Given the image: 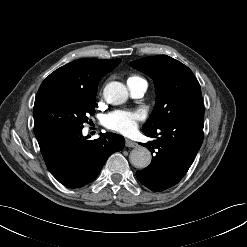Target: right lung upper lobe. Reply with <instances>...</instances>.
<instances>
[{
    "label": "right lung upper lobe",
    "mask_w": 247,
    "mask_h": 247,
    "mask_svg": "<svg viewBox=\"0 0 247 247\" xmlns=\"http://www.w3.org/2000/svg\"><path fill=\"white\" fill-rule=\"evenodd\" d=\"M120 62L121 59L84 58L68 63L43 81L36 96L52 91L96 95L101 78Z\"/></svg>",
    "instance_id": "right-lung-upper-lobe-1"
}]
</instances>
